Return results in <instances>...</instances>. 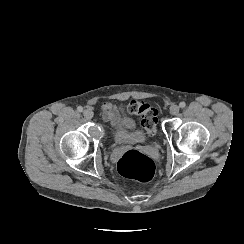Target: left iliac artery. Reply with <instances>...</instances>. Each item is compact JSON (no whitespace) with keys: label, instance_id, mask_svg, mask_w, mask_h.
<instances>
[{"label":"left iliac artery","instance_id":"left-iliac-artery-1","mask_svg":"<svg viewBox=\"0 0 244 244\" xmlns=\"http://www.w3.org/2000/svg\"><path fill=\"white\" fill-rule=\"evenodd\" d=\"M179 106H180L181 108H184V107L186 106V103H185V102H180Z\"/></svg>","mask_w":244,"mask_h":244}]
</instances>
